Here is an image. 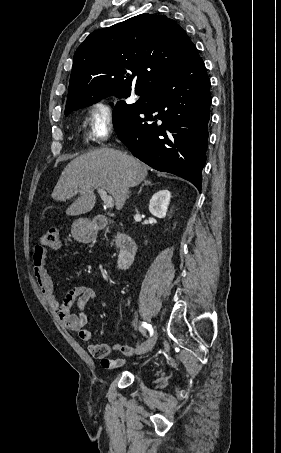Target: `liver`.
Wrapping results in <instances>:
<instances>
[{
	"label": "liver",
	"mask_w": 281,
	"mask_h": 453,
	"mask_svg": "<svg viewBox=\"0 0 281 453\" xmlns=\"http://www.w3.org/2000/svg\"><path fill=\"white\" fill-rule=\"evenodd\" d=\"M149 166L126 152L102 146L79 154L68 162L52 192L55 200H68L80 192L66 214H85L95 206L94 188H105L112 194L117 210H121L130 186L145 180Z\"/></svg>",
	"instance_id": "liver-1"
}]
</instances>
